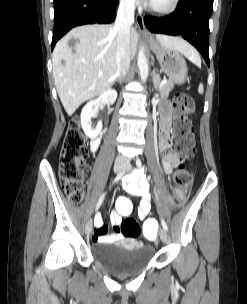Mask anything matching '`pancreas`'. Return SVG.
Returning a JSON list of instances; mask_svg holds the SVG:
<instances>
[{
  "mask_svg": "<svg viewBox=\"0 0 247 304\" xmlns=\"http://www.w3.org/2000/svg\"><path fill=\"white\" fill-rule=\"evenodd\" d=\"M174 88L173 81H167L164 85H162L159 89L160 95L162 98L168 97L170 91Z\"/></svg>",
  "mask_w": 247,
  "mask_h": 304,
  "instance_id": "obj_1",
  "label": "pancreas"
}]
</instances>
